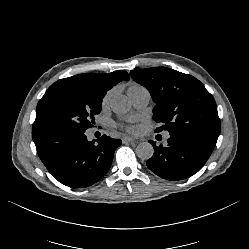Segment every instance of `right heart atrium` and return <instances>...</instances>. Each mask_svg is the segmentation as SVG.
Listing matches in <instances>:
<instances>
[{
    "label": "right heart atrium",
    "mask_w": 249,
    "mask_h": 249,
    "mask_svg": "<svg viewBox=\"0 0 249 249\" xmlns=\"http://www.w3.org/2000/svg\"><path fill=\"white\" fill-rule=\"evenodd\" d=\"M114 92H115V88H111L105 92V94L102 98V106L103 107H106L109 105V102H110Z\"/></svg>",
    "instance_id": "obj_1"
}]
</instances>
